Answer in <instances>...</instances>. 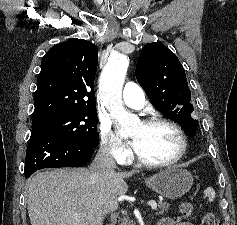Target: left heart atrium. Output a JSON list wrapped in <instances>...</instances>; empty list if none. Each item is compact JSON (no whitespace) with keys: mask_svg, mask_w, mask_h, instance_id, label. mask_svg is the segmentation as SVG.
<instances>
[{"mask_svg":"<svg viewBox=\"0 0 237 225\" xmlns=\"http://www.w3.org/2000/svg\"><path fill=\"white\" fill-rule=\"evenodd\" d=\"M133 147L136 149V142L133 141Z\"/></svg>","mask_w":237,"mask_h":225,"instance_id":"obj_1","label":"left heart atrium"}]
</instances>
